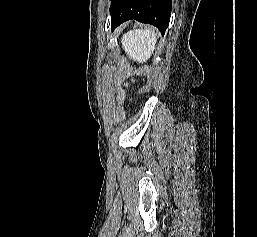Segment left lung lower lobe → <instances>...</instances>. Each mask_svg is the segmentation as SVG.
I'll return each mask as SVG.
<instances>
[{
	"label": "left lung lower lobe",
	"mask_w": 257,
	"mask_h": 237,
	"mask_svg": "<svg viewBox=\"0 0 257 237\" xmlns=\"http://www.w3.org/2000/svg\"><path fill=\"white\" fill-rule=\"evenodd\" d=\"M111 28L136 19L156 26L163 35L169 25L171 0H111Z\"/></svg>",
	"instance_id": "obj_1"
}]
</instances>
